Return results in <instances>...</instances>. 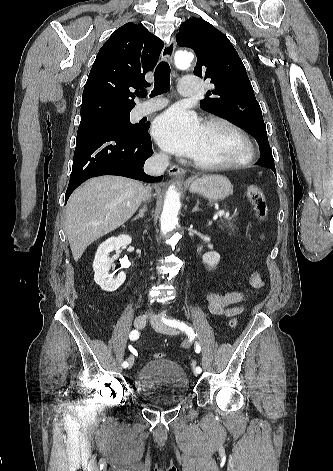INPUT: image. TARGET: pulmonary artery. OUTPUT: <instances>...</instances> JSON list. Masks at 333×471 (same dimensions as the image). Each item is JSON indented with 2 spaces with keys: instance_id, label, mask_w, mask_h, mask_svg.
Returning <instances> with one entry per match:
<instances>
[{
  "instance_id": "1",
  "label": "pulmonary artery",
  "mask_w": 333,
  "mask_h": 471,
  "mask_svg": "<svg viewBox=\"0 0 333 471\" xmlns=\"http://www.w3.org/2000/svg\"><path fill=\"white\" fill-rule=\"evenodd\" d=\"M199 90V81L195 76H185L179 83V92L183 96H193ZM166 104L165 101L158 100L144 103L138 107V114L143 116L161 109Z\"/></svg>"
}]
</instances>
